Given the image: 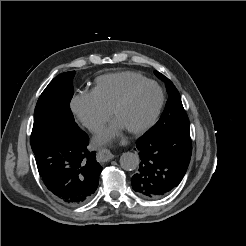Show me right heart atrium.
I'll list each match as a JSON object with an SVG mask.
<instances>
[{"instance_id": "right-heart-atrium-1", "label": "right heart atrium", "mask_w": 246, "mask_h": 246, "mask_svg": "<svg viewBox=\"0 0 246 246\" xmlns=\"http://www.w3.org/2000/svg\"><path fill=\"white\" fill-rule=\"evenodd\" d=\"M71 111L78 122L90 131H98L109 119L111 112L102 107L92 92H78L71 100Z\"/></svg>"}]
</instances>
